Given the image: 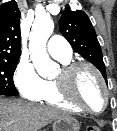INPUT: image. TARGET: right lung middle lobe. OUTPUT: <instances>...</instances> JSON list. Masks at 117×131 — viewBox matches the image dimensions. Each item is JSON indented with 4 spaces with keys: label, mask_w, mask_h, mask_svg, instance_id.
<instances>
[{
    "label": "right lung middle lobe",
    "mask_w": 117,
    "mask_h": 131,
    "mask_svg": "<svg viewBox=\"0 0 117 131\" xmlns=\"http://www.w3.org/2000/svg\"><path fill=\"white\" fill-rule=\"evenodd\" d=\"M17 63L18 59H0V95H18L13 82V74Z\"/></svg>",
    "instance_id": "dd1d6c3e"
}]
</instances>
